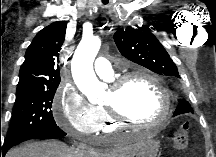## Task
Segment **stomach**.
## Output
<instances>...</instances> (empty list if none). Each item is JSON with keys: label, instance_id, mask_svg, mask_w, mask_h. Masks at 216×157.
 Segmentation results:
<instances>
[{"label": "stomach", "instance_id": "1", "mask_svg": "<svg viewBox=\"0 0 216 157\" xmlns=\"http://www.w3.org/2000/svg\"><path fill=\"white\" fill-rule=\"evenodd\" d=\"M159 149V141L155 139H146L142 142L136 157H156Z\"/></svg>", "mask_w": 216, "mask_h": 157}]
</instances>
